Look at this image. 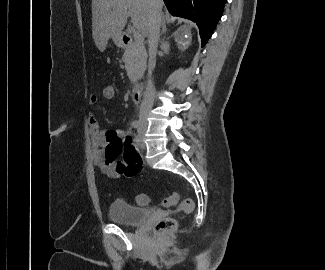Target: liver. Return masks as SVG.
I'll return each mask as SVG.
<instances>
[{
	"label": "liver",
	"instance_id": "6515ba94",
	"mask_svg": "<svg viewBox=\"0 0 325 270\" xmlns=\"http://www.w3.org/2000/svg\"><path fill=\"white\" fill-rule=\"evenodd\" d=\"M128 15L134 28L147 37L151 17L149 0H92V36L101 52L109 38L121 34Z\"/></svg>",
	"mask_w": 325,
	"mask_h": 270
}]
</instances>
